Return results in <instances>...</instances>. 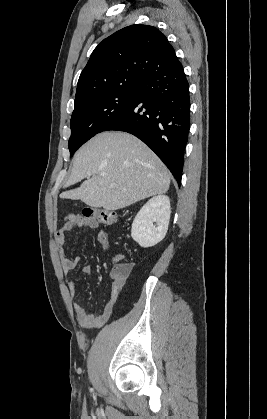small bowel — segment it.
<instances>
[{
  "mask_svg": "<svg viewBox=\"0 0 267 419\" xmlns=\"http://www.w3.org/2000/svg\"><path fill=\"white\" fill-rule=\"evenodd\" d=\"M99 224L89 218H86L80 214H69L65 217L62 227L56 232L55 239L59 246L62 248L66 242L67 235L76 228H90L96 229ZM97 241L101 248L104 251L109 250V236L107 232L100 230L97 234ZM80 258L69 257L63 253L62 255V270L65 275L73 271L79 264ZM92 272V268L89 265H86L82 268V273L89 275ZM128 274L126 275H117L113 271L110 272L111 278V292L108 301L104 304L103 309L100 314H95L89 312L82 304L76 302L74 303V309L76 312L77 320L81 326L86 328L100 327L105 324L110 316L112 315L115 302L118 295L123 289ZM69 290L74 296L78 291V283L73 281L69 285Z\"/></svg>",
  "mask_w": 267,
  "mask_h": 419,
  "instance_id": "1",
  "label": "small bowel"
}]
</instances>
